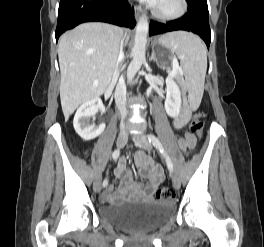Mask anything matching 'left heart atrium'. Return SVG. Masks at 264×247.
Returning <instances> with one entry per match:
<instances>
[{
	"instance_id": "left-heart-atrium-1",
	"label": "left heart atrium",
	"mask_w": 264,
	"mask_h": 247,
	"mask_svg": "<svg viewBox=\"0 0 264 247\" xmlns=\"http://www.w3.org/2000/svg\"><path fill=\"white\" fill-rule=\"evenodd\" d=\"M148 3H150L153 6H156L160 0H146Z\"/></svg>"
}]
</instances>
